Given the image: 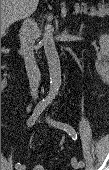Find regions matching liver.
Listing matches in <instances>:
<instances>
[{"mask_svg": "<svg viewBox=\"0 0 109 170\" xmlns=\"http://www.w3.org/2000/svg\"><path fill=\"white\" fill-rule=\"evenodd\" d=\"M39 0H1V29L6 30L16 21L33 13Z\"/></svg>", "mask_w": 109, "mask_h": 170, "instance_id": "obj_1", "label": "liver"}]
</instances>
